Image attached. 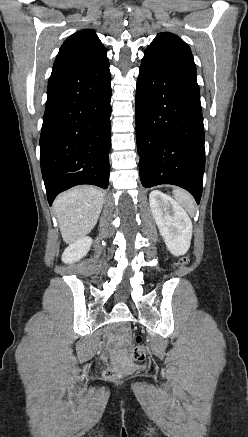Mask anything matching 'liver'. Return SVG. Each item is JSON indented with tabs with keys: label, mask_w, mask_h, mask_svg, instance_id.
<instances>
[{
	"label": "liver",
	"mask_w": 248,
	"mask_h": 437,
	"mask_svg": "<svg viewBox=\"0 0 248 437\" xmlns=\"http://www.w3.org/2000/svg\"><path fill=\"white\" fill-rule=\"evenodd\" d=\"M103 202L104 192L93 186L76 187L56 198L54 210L65 243H73L91 232Z\"/></svg>",
	"instance_id": "1"
}]
</instances>
